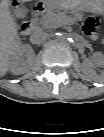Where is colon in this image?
I'll use <instances>...</instances> for the list:
<instances>
[{"label": "colon", "mask_w": 104, "mask_h": 137, "mask_svg": "<svg viewBox=\"0 0 104 137\" xmlns=\"http://www.w3.org/2000/svg\"><path fill=\"white\" fill-rule=\"evenodd\" d=\"M11 1L13 5H17V0H11ZM97 24H98L97 18L94 16H89L86 19L85 24H84V32L87 35H91L94 32Z\"/></svg>", "instance_id": "colon-1"}]
</instances>
